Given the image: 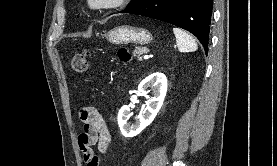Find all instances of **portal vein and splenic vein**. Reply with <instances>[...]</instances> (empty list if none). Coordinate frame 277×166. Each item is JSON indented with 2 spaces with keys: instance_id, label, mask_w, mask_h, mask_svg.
Wrapping results in <instances>:
<instances>
[{
  "instance_id": "portal-vein-and-splenic-vein-1",
  "label": "portal vein and splenic vein",
  "mask_w": 277,
  "mask_h": 166,
  "mask_svg": "<svg viewBox=\"0 0 277 166\" xmlns=\"http://www.w3.org/2000/svg\"><path fill=\"white\" fill-rule=\"evenodd\" d=\"M149 58V56L148 55H144V59H148Z\"/></svg>"
}]
</instances>
